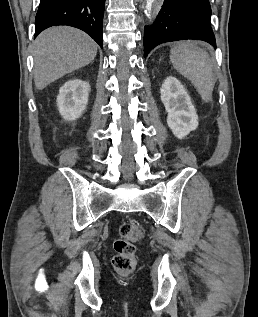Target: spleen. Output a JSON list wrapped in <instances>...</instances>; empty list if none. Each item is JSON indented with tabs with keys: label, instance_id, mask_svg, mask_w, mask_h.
Instances as JSON below:
<instances>
[{
	"label": "spleen",
	"instance_id": "obj_1",
	"mask_svg": "<svg viewBox=\"0 0 258 317\" xmlns=\"http://www.w3.org/2000/svg\"><path fill=\"white\" fill-rule=\"evenodd\" d=\"M171 60L174 68L189 78L205 102L212 100L216 78L213 76L211 58L205 48L195 42H178L171 48Z\"/></svg>",
	"mask_w": 258,
	"mask_h": 317
}]
</instances>
